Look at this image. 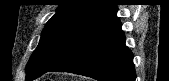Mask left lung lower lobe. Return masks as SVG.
<instances>
[{"label": "left lung lower lobe", "instance_id": "left-lung-lower-lobe-1", "mask_svg": "<svg viewBox=\"0 0 169 81\" xmlns=\"http://www.w3.org/2000/svg\"><path fill=\"white\" fill-rule=\"evenodd\" d=\"M116 12L114 5L85 27L47 72H70L99 81H135L133 54L125 45Z\"/></svg>", "mask_w": 169, "mask_h": 81}]
</instances>
